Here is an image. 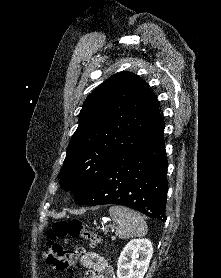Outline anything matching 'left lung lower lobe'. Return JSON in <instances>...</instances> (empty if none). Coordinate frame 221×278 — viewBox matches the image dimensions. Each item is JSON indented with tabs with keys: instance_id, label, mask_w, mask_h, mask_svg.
<instances>
[{
	"instance_id": "left-lung-lower-lobe-1",
	"label": "left lung lower lobe",
	"mask_w": 221,
	"mask_h": 278,
	"mask_svg": "<svg viewBox=\"0 0 221 278\" xmlns=\"http://www.w3.org/2000/svg\"><path fill=\"white\" fill-rule=\"evenodd\" d=\"M163 134L161 117L117 154L89 194L78 203L124 205L165 222L168 163Z\"/></svg>"
}]
</instances>
